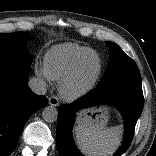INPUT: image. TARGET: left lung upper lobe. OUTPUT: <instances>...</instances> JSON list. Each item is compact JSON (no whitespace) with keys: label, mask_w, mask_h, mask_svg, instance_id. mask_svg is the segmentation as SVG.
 I'll return each instance as SVG.
<instances>
[{"label":"left lung upper lobe","mask_w":156,"mask_h":156,"mask_svg":"<svg viewBox=\"0 0 156 156\" xmlns=\"http://www.w3.org/2000/svg\"><path fill=\"white\" fill-rule=\"evenodd\" d=\"M106 44L110 48V61L97 86L116 82L141 84L136 63L118 45L112 42H106Z\"/></svg>","instance_id":"obj_1"}]
</instances>
